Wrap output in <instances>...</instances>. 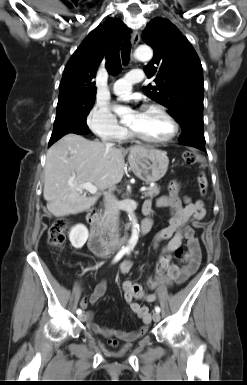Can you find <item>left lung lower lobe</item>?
<instances>
[{"label": "left lung lower lobe", "mask_w": 247, "mask_h": 385, "mask_svg": "<svg viewBox=\"0 0 247 385\" xmlns=\"http://www.w3.org/2000/svg\"><path fill=\"white\" fill-rule=\"evenodd\" d=\"M182 130L179 140L183 145L205 151L204 124L192 123L183 127Z\"/></svg>", "instance_id": "obj_1"}]
</instances>
